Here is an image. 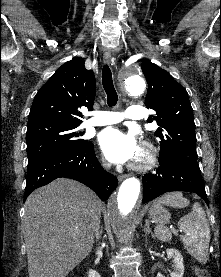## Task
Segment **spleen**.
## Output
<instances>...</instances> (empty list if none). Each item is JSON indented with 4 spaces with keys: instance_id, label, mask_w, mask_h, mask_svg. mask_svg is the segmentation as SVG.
I'll return each instance as SVG.
<instances>
[{
    "instance_id": "spleen-1",
    "label": "spleen",
    "mask_w": 221,
    "mask_h": 277,
    "mask_svg": "<svg viewBox=\"0 0 221 277\" xmlns=\"http://www.w3.org/2000/svg\"><path fill=\"white\" fill-rule=\"evenodd\" d=\"M156 202L176 208H184L190 204L189 200L184 198L181 192L165 194ZM178 226L184 233L181 236V240L188 253L199 263L205 264L208 260L210 229L205 211L200 204H194L192 211L179 220ZM155 235L158 239L166 242L172 238L170 230L163 226L155 228Z\"/></svg>"
}]
</instances>
